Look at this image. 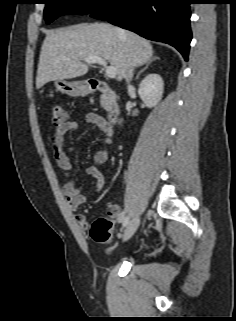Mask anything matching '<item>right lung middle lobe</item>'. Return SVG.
I'll use <instances>...</instances> for the list:
<instances>
[{
  "label": "right lung middle lobe",
  "mask_w": 236,
  "mask_h": 321,
  "mask_svg": "<svg viewBox=\"0 0 236 321\" xmlns=\"http://www.w3.org/2000/svg\"><path fill=\"white\" fill-rule=\"evenodd\" d=\"M111 0H45L46 23L65 14H91Z\"/></svg>",
  "instance_id": "1"
}]
</instances>
